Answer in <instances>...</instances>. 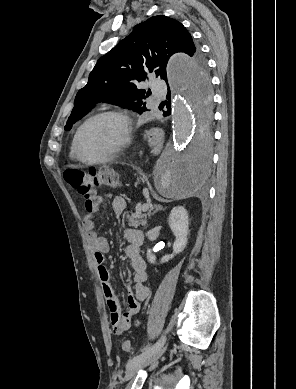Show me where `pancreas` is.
I'll list each match as a JSON object with an SVG mask.
<instances>
[{
	"label": "pancreas",
	"mask_w": 296,
	"mask_h": 389,
	"mask_svg": "<svg viewBox=\"0 0 296 389\" xmlns=\"http://www.w3.org/2000/svg\"><path fill=\"white\" fill-rule=\"evenodd\" d=\"M149 214H141L139 209L136 213H132L127 216L128 225L131 227H139L140 225L144 226L146 224Z\"/></svg>",
	"instance_id": "1"
}]
</instances>
